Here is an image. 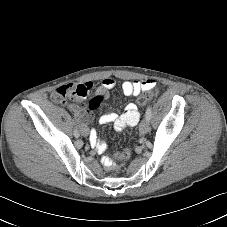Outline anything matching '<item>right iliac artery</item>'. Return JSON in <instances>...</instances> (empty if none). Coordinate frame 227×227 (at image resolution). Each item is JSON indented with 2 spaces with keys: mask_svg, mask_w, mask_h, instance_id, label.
<instances>
[{
  "mask_svg": "<svg viewBox=\"0 0 227 227\" xmlns=\"http://www.w3.org/2000/svg\"><path fill=\"white\" fill-rule=\"evenodd\" d=\"M74 136H75L76 138H78V137H79V132H78V130H77V129H75V130H74Z\"/></svg>",
  "mask_w": 227,
  "mask_h": 227,
  "instance_id": "right-iliac-artery-1",
  "label": "right iliac artery"
}]
</instances>
